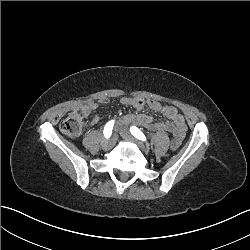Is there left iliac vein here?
<instances>
[{
    "mask_svg": "<svg viewBox=\"0 0 250 250\" xmlns=\"http://www.w3.org/2000/svg\"><path fill=\"white\" fill-rule=\"evenodd\" d=\"M120 135H121L124 139L129 140V141H132V142L138 144L139 147H140L145 153L148 152V149H147L143 144L137 142V140L131 135V133L128 131L127 128H122V129L120 130Z\"/></svg>",
    "mask_w": 250,
    "mask_h": 250,
    "instance_id": "left-iliac-vein-1",
    "label": "left iliac vein"
}]
</instances>
